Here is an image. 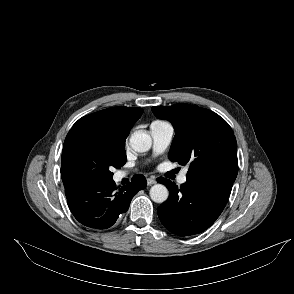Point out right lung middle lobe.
<instances>
[{
	"mask_svg": "<svg viewBox=\"0 0 294 294\" xmlns=\"http://www.w3.org/2000/svg\"><path fill=\"white\" fill-rule=\"evenodd\" d=\"M125 142L102 138H78L63 150L61 175L65 188L91 185L112 179V167L126 162Z\"/></svg>",
	"mask_w": 294,
	"mask_h": 294,
	"instance_id": "right-lung-middle-lobe-1",
	"label": "right lung middle lobe"
}]
</instances>
